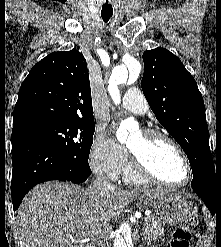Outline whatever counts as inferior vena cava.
Wrapping results in <instances>:
<instances>
[{"instance_id":"1","label":"inferior vena cava","mask_w":221,"mask_h":247,"mask_svg":"<svg viewBox=\"0 0 221 247\" xmlns=\"http://www.w3.org/2000/svg\"><path fill=\"white\" fill-rule=\"evenodd\" d=\"M92 188L99 192L101 196H105L113 191L116 187L115 185L111 184L105 177L101 174L96 175V179L93 182ZM108 236H103L99 240L100 247H110L108 240Z\"/></svg>"}]
</instances>
